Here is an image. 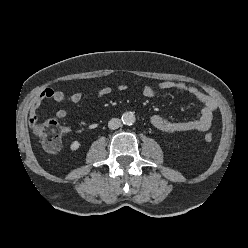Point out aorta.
Listing matches in <instances>:
<instances>
[{"label":"aorta","instance_id":"1","mask_svg":"<svg viewBox=\"0 0 248 248\" xmlns=\"http://www.w3.org/2000/svg\"><path fill=\"white\" fill-rule=\"evenodd\" d=\"M121 119H122L123 124L125 125H132L136 120L135 115L132 112H125L122 115Z\"/></svg>","mask_w":248,"mask_h":248}]
</instances>
